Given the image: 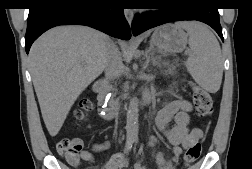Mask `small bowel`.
Masks as SVG:
<instances>
[{"mask_svg":"<svg viewBox=\"0 0 252 169\" xmlns=\"http://www.w3.org/2000/svg\"><path fill=\"white\" fill-rule=\"evenodd\" d=\"M191 105L185 100H174L166 102L156 117V125L167 137L168 141L174 146V159L182 153V150L198 142L202 137V131L199 128H189ZM174 119L175 125L168 129L167 125ZM156 138L152 137L149 146H153ZM109 143H97L92 146L94 152H101L107 149ZM80 158L84 161H93V155L89 151L81 150ZM160 163H164L162 154L157 155ZM129 164V160L124 155L118 153L113 155L105 164L103 169H122ZM135 169H148L142 160L135 163Z\"/></svg>","mask_w":252,"mask_h":169,"instance_id":"c3829d8e","label":"small bowel"}]
</instances>
